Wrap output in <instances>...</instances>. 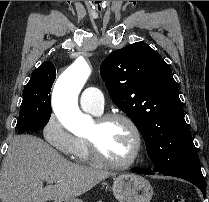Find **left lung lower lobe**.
<instances>
[{
  "label": "left lung lower lobe",
  "instance_id": "1",
  "mask_svg": "<svg viewBox=\"0 0 209 202\" xmlns=\"http://www.w3.org/2000/svg\"><path fill=\"white\" fill-rule=\"evenodd\" d=\"M155 171V170H154ZM154 171L150 169H132L134 173L153 175ZM159 172V171H158ZM164 176H174L185 179L195 186H197L206 196V184L205 179L201 172V166L198 154L189 157L185 162H183L179 167L173 169L170 172H159Z\"/></svg>",
  "mask_w": 209,
  "mask_h": 202
}]
</instances>
